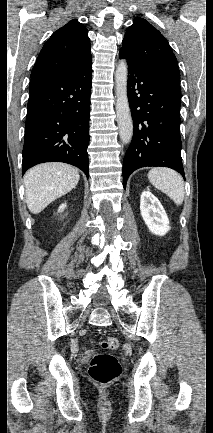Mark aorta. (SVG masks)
Returning <instances> with one entry per match:
<instances>
[{"label":"aorta","instance_id":"1","mask_svg":"<svg viewBox=\"0 0 213 433\" xmlns=\"http://www.w3.org/2000/svg\"><path fill=\"white\" fill-rule=\"evenodd\" d=\"M127 79V63L125 60H120L115 71V97L119 136L123 144H128L133 137V121L127 96Z\"/></svg>","mask_w":213,"mask_h":433}]
</instances>
